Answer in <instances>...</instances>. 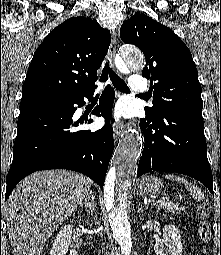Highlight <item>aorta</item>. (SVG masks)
<instances>
[{
    "label": "aorta",
    "instance_id": "1",
    "mask_svg": "<svg viewBox=\"0 0 221 255\" xmlns=\"http://www.w3.org/2000/svg\"><path fill=\"white\" fill-rule=\"evenodd\" d=\"M121 60V68L126 66L134 70L144 68V58L136 48H123ZM142 148L143 144L139 135H126L116 152L115 164L109 169L104 184L105 205L113 237L124 255H130L132 249L127 202L130 188L136 177Z\"/></svg>",
    "mask_w": 221,
    "mask_h": 255
}]
</instances>
